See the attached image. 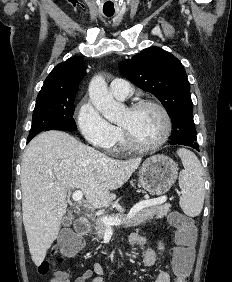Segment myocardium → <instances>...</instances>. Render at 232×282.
<instances>
[{
    "mask_svg": "<svg viewBox=\"0 0 232 282\" xmlns=\"http://www.w3.org/2000/svg\"><path fill=\"white\" fill-rule=\"evenodd\" d=\"M145 106L154 107L162 114L164 121H165V130H164L163 136L157 142L148 144V145H143V144L137 143L131 136L129 130L126 127L120 125V130H121L125 145L129 149L134 150V151L146 152V151L156 150L168 141L171 135V132H172L171 116L168 113L167 109L163 105H161L159 102L150 100V99H142V100L136 101L133 104H131L128 107V110L135 111Z\"/></svg>",
    "mask_w": 232,
    "mask_h": 282,
    "instance_id": "obj_1",
    "label": "myocardium"
}]
</instances>
